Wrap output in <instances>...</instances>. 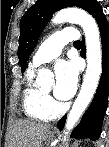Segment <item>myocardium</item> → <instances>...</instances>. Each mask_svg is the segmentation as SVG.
<instances>
[{"label": "myocardium", "instance_id": "myocardium-1", "mask_svg": "<svg viewBox=\"0 0 109 147\" xmlns=\"http://www.w3.org/2000/svg\"><path fill=\"white\" fill-rule=\"evenodd\" d=\"M44 93H45V94H47V95L49 94V92H48V91H44Z\"/></svg>", "mask_w": 109, "mask_h": 147}]
</instances>
